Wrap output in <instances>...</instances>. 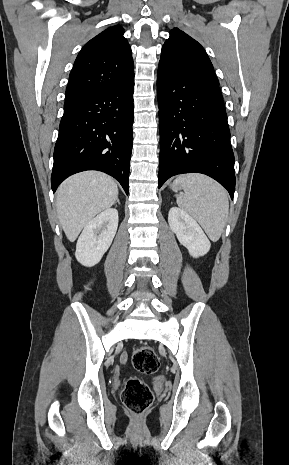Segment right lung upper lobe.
<instances>
[{
	"label": "right lung upper lobe",
	"mask_w": 289,
	"mask_h": 465,
	"mask_svg": "<svg viewBox=\"0 0 289 465\" xmlns=\"http://www.w3.org/2000/svg\"><path fill=\"white\" fill-rule=\"evenodd\" d=\"M124 29L112 26L91 39L78 54L69 75L65 105L127 82L134 75Z\"/></svg>",
	"instance_id": "1"
}]
</instances>
